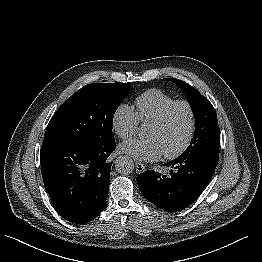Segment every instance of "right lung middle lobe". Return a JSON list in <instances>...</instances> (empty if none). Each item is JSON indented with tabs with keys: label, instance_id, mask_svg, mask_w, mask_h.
Instances as JSON below:
<instances>
[{
	"label": "right lung middle lobe",
	"instance_id": "right-lung-middle-lobe-1",
	"mask_svg": "<svg viewBox=\"0 0 262 262\" xmlns=\"http://www.w3.org/2000/svg\"><path fill=\"white\" fill-rule=\"evenodd\" d=\"M131 89L130 83H94L82 87L52 116L44 141L114 140L113 117Z\"/></svg>",
	"mask_w": 262,
	"mask_h": 262
}]
</instances>
